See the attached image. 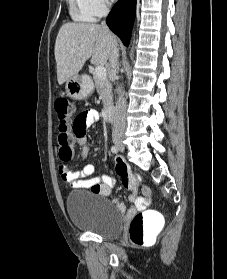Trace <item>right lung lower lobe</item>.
<instances>
[{"label": "right lung lower lobe", "instance_id": "98d812e1", "mask_svg": "<svg viewBox=\"0 0 227 279\" xmlns=\"http://www.w3.org/2000/svg\"><path fill=\"white\" fill-rule=\"evenodd\" d=\"M136 0H118L108 15L109 28L120 37L124 45H128L135 18Z\"/></svg>", "mask_w": 227, "mask_h": 279}]
</instances>
